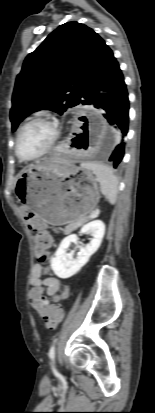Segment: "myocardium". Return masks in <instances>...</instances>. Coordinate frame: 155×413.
Listing matches in <instances>:
<instances>
[{"mask_svg": "<svg viewBox=\"0 0 155 413\" xmlns=\"http://www.w3.org/2000/svg\"><path fill=\"white\" fill-rule=\"evenodd\" d=\"M36 121H45L50 123L53 126L54 129V135L53 138L51 140V142L49 143V145L39 154L35 155V156H31V157H26L24 156L21 152H20V148H19V143H20V138L22 135L23 130L30 125L33 122ZM60 136V130H59V125L56 119L48 116V115H36L32 118H30L29 120H27L19 129L17 136H16V140H15V154L16 156L21 160V161H33L36 159H39L41 157H43L44 155H46L47 153H49L55 146L58 138Z\"/></svg>", "mask_w": 155, "mask_h": 413, "instance_id": "myocardium-1", "label": "myocardium"}]
</instances>
